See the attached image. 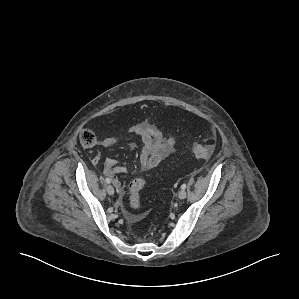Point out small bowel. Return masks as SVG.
<instances>
[{
  "mask_svg": "<svg viewBox=\"0 0 299 299\" xmlns=\"http://www.w3.org/2000/svg\"><path fill=\"white\" fill-rule=\"evenodd\" d=\"M126 134L139 137L143 143L140 164L143 170H151L164 160L175 149V141L173 138H166L162 131L148 121L139 122L129 127ZM119 138L113 135L105 136L101 145L105 148L116 145ZM101 160L100 154L93 157L92 163L98 164ZM104 173L111 178L114 185L121 190L120 180L116 174L126 173V167L119 165L116 160L106 158L103 160ZM134 219L136 217H133Z\"/></svg>",
  "mask_w": 299,
  "mask_h": 299,
  "instance_id": "c3829d8e",
  "label": "small bowel"
}]
</instances>
